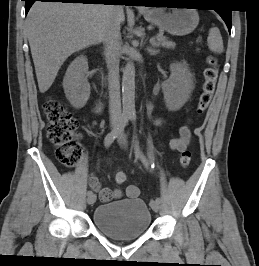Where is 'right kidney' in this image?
<instances>
[{
    "mask_svg": "<svg viewBox=\"0 0 259 266\" xmlns=\"http://www.w3.org/2000/svg\"><path fill=\"white\" fill-rule=\"evenodd\" d=\"M87 72V58L84 55H80L69 65L63 79L66 98L76 109L83 108L90 97V84L86 77Z\"/></svg>",
    "mask_w": 259,
    "mask_h": 266,
    "instance_id": "right-kidney-1",
    "label": "right kidney"
}]
</instances>
